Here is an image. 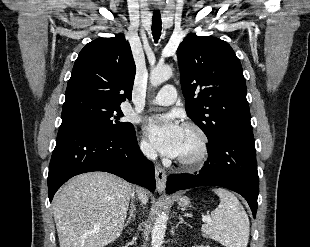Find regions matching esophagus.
I'll return each instance as SVG.
<instances>
[{
	"label": "esophagus",
	"mask_w": 310,
	"mask_h": 247,
	"mask_svg": "<svg viewBox=\"0 0 310 247\" xmlns=\"http://www.w3.org/2000/svg\"><path fill=\"white\" fill-rule=\"evenodd\" d=\"M155 178L158 192H163L166 187L167 175L165 170L159 165L155 166Z\"/></svg>",
	"instance_id": "1"
}]
</instances>
